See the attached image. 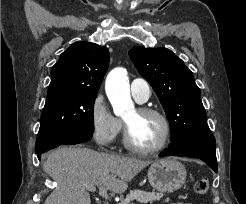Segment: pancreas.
Wrapping results in <instances>:
<instances>
[{"instance_id": "1", "label": "pancreas", "mask_w": 246, "mask_h": 204, "mask_svg": "<svg viewBox=\"0 0 246 204\" xmlns=\"http://www.w3.org/2000/svg\"><path fill=\"white\" fill-rule=\"evenodd\" d=\"M163 193H155V192H145L140 190L131 191L125 199H122L119 204H133L132 201H137L142 204H146L148 202L159 201L163 197Z\"/></svg>"}]
</instances>
